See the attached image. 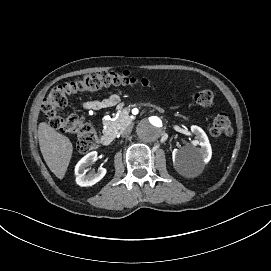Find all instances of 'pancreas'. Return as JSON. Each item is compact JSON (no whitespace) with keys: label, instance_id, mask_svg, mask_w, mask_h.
<instances>
[{"label":"pancreas","instance_id":"cf45deb5","mask_svg":"<svg viewBox=\"0 0 271 271\" xmlns=\"http://www.w3.org/2000/svg\"><path fill=\"white\" fill-rule=\"evenodd\" d=\"M130 111L124 108L120 113L119 117L112 120H103V124L108 128L118 132L121 128H126L131 123V118L129 117Z\"/></svg>","mask_w":271,"mask_h":271}]
</instances>
